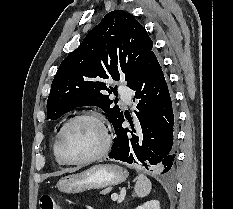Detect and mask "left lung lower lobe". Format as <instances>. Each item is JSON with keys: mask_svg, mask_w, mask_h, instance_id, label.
I'll return each mask as SVG.
<instances>
[{"mask_svg": "<svg viewBox=\"0 0 233 209\" xmlns=\"http://www.w3.org/2000/svg\"><path fill=\"white\" fill-rule=\"evenodd\" d=\"M128 87L135 91L137 121L123 114L113 123L116 138L109 158L135 163L163 173L173 168L175 152L172 98L161 66L154 53L144 61ZM128 119L130 128H123Z\"/></svg>", "mask_w": 233, "mask_h": 209, "instance_id": "1", "label": "left lung lower lobe"}]
</instances>
